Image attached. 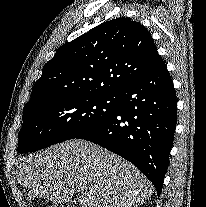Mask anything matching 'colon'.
Instances as JSON below:
<instances>
[{"label":"colon","instance_id":"1","mask_svg":"<svg viewBox=\"0 0 206 207\" xmlns=\"http://www.w3.org/2000/svg\"><path fill=\"white\" fill-rule=\"evenodd\" d=\"M52 207H71V206H69V205H65V206L64 205H61V206L57 205V206H52Z\"/></svg>","mask_w":206,"mask_h":207}]
</instances>
